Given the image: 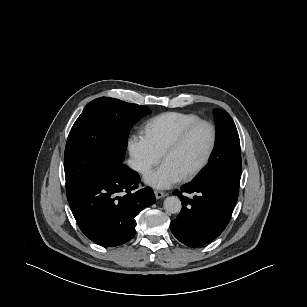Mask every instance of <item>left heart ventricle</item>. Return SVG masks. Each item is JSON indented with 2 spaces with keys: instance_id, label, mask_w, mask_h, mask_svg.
I'll return each instance as SVG.
<instances>
[{
  "instance_id": "b2bd125f",
  "label": "left heart ventricle",
  "mask_w": 307,
  "mask_h": 307,
  "mask_svg": "<svg viewBox=\"0 0 307 307\" xmlns=\"http://www.w3.org/2000/svg\"><path fill=\"white\" fill-rule=\"evenodd\" d=\"M210 139V129L201 125L195 128L183 144L165 158L164 162L170 163L184 176L202 161L209 147Z\"/></svg>"
}]
</instances>
